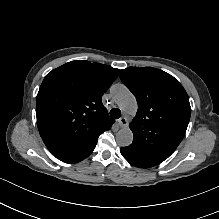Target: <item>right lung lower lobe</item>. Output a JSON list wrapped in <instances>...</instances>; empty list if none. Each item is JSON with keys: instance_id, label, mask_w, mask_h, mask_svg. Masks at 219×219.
I'll list each match as a JSON object with an SVG mask.
<instances>
[{"instance_id": "right-lung-lower-lobe-1", "label": "right lung lower lobe", "mask_w": 219, "mask_h": 219, "mask_svg": "<svg viewBox=\"0 0 219 219\" xmlns=\"http://www.w3.org/2000/svg\"><path fill=\"white\" fill-rule=\"evenodd\" d=\"M95 147L79 152V153H61V154H55V156L67 163H77L88 157L94 150Z\"/></svg>"}]
</instances>
